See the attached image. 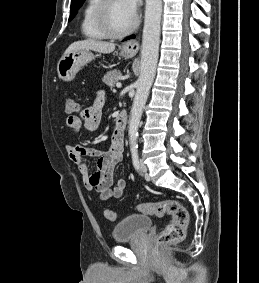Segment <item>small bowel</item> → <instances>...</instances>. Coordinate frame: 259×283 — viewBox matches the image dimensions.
<instances>
[{
	"label": "small bowel",
	"mask_w": 259,
	"mask_h": 283,
	"mask_svg": "<svg viewBox=\"0 0 259 283\" xmlns=\"http://www.w3.org/2000/svg\"><path fill=\"white\" fill-rule=\"evenodd\" d=\"M103 105L104 98L100 93L92 106L82 110L79 115L68 116L66 124L70 132L78 134L83 129L96 130L100 124ZM65 149L69 159L77 165L82 174L87 190L98 192L103 200L119 198L123 195L126 181L124 179L114 181V168L123 159V133H117L114 130L111 144L107 149H96L71 143L66 144ZM85 156L96 158L97 170L95 172H90L84 160Z\"/></svg>",
	"instance_id": "1"
}]
</instances>
